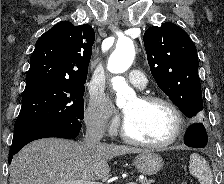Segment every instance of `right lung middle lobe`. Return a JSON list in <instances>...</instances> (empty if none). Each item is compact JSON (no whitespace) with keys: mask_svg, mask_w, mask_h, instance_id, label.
Returning <instances> with one entry per match:
<instances>
[{"mask_svg":"<svg viewBox=\"0 0 224 184\" xmlns=\"http://www.w3.org/2000/svg\"><path fill=\"white\" fill-rule=\"evenodd\" d=\"M84 84L51 81L26 84L14 133L40 122L80 123L84 116Z\"/></svg>","mask_w":224,"mask_h":184,"instance_id":"1","label":"right lung middle lobe"}]
</instances>
